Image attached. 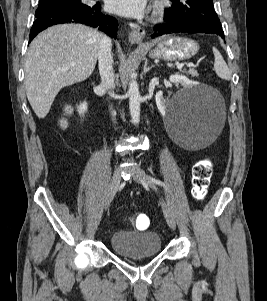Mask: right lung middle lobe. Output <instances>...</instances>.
Listing matches in <instances>:
<instances>
[{
  "label": "right lung middle lobe",
  "instance_id": "dd1d6c3e",
  "mask_svg": "<svg viewBox=\"0 0 267 301\" xmlns=\"http://www.w3.org/2000/svg\"><path fill=\"white\" fill-rule=\"evenodd\" d=\"M81 0H39L36 16L66 8H84Z\"/></svg>",
  "mask_w": 267,
  "mask_h": 301
}]
</instances>
